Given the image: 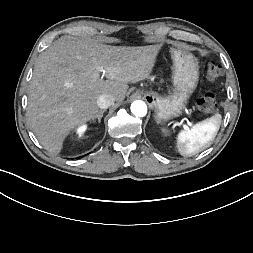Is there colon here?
I'll list each match as a JSON object with an SVG mask.
<instances>
[{
    "instance_id": "colon-1",
    "label": "colon",
    "mask_w": 253,
    "mask_h": 253,
    "mask_svg": "<svg viewBox=\"0 0 253 253\" xmlns=\"http://www.w3.org/2000/svg\"><path fill=\"white\" fill-rule=\"evenodd\" d=\"M206 73L209 80H217L222 74V67L215 62H211L206 67ZM197 106L203 113L210 114L215 112L217 103L214 94L206 93L197 101Z\"/></svg>"
}]
</instances>
